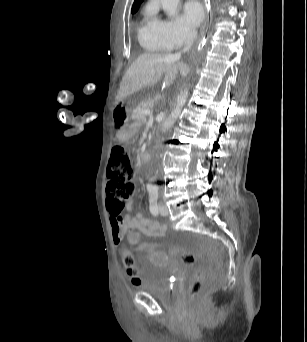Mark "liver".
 Returning <instances> with one entry per match:
<instances>
[{"label":"liver","mask_w":307,"mask_h":342,"mask_svg":"<svg viewBox=\"0 0 307 342\" xmlns=\"http://www.w3.org/2000/svg\"><path fill=\"white\" fill-rule=\"evenodd\" d=\"M183 70H189L188 66L173 60L172 54H141L125 72L116 100H124L141 88L157 84L162 76L165 82H173Z\"/></svg>","instance_id":"liver-1"}]
</instances>
